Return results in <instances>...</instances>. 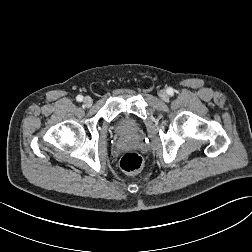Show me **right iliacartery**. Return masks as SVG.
Wrapping results in <instances>:
<instances>
[{
  "mask_svg": "<svg viewBox=\"0 0 252 252\" xmlns=\"http://www.w3.org/2000/svg\"><path fill=\"white\" fill-rule=\"evenodd\" d=\"M76 99H77L78 102H81L83 100V96L82 95H78L76 97Z\"/></svg>",
  "mask_w": 252,
  "mask_h": 252,
  "instance_id": "82829eb1",
  "label": "right iliac artery"
}]
</instances>
